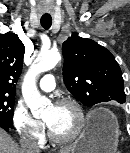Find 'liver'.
Returning <instances> with one entry per match:
<instances>
[{
  "mask_svg": "<svg viewBox=\"0 0 130 153\" xmlns=\"http://www.w3.org/2000/svg\"><path fill=\"white\" fill-rule=\"evenodd\" d=\"M0 153H22L21 149L2 128H0ZM60 153H67V151L61 150Z\"/></svg>",
  "mask_w": 130,
  "mask_h": 153,
  "instance_id": "liver-1",
  "label": "liver"
}]
</instances>
